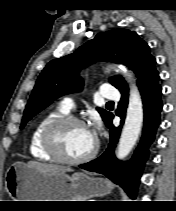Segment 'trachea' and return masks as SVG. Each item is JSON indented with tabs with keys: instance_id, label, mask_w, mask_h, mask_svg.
Returning <instances> with one entry per match:
<instances>
[{
	"instance_id": "1",
	"label": "trachea",
	"mask_w": 176,
	"mask_h": 211,
	"mask_svg": "<svg viewBox=\"0 0 176 211\" xmlns=\"http://www.w3.org/2000/svg\"><path fill=\"white\" fill-rule=\"evenodd\" d=\"M107 104H114V102H108Z\"/></svg>"
}]
</instances>
